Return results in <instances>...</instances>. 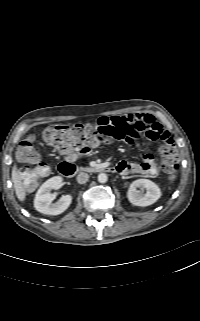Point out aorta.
<instances>
[{"label":"aorta","instance_id":"aorta-1","mask_svg":"<svg viewBox=\"0 0 200 321\" xmlns=\"http://www.w3.org/2000/svg\"><path fill=\"white\" fill-rule=\"evenodd\" d=\"M107 180H108L107 174H105V173H100V174L98 175V181H99L100 183H106Z\"/></svg>","mask_w":200,"mask_h":321}]
</instances>
